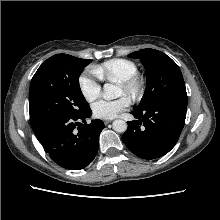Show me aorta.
Returning a JSON list of instances; mask_svg holds the SVG:
<instances>
[{
	"label": "aorta",
	"mask_w": 220,
	"mask_h": 220,
	"mask_svg": "<svg viewBox=\"0 0 220 220\" xmlns=\"http://www.w3.org/2000/svg\"><path fill=\"white\" fill-rule=\"evenodd\" d=\"M120 90L117 86L113 84H104L102 96L105 100H112L118 97ZM113 130L118 133H123L127 130V123L124 120H114L113 121Z\"/></svg>",
	"instance_id": "obj_1"
}]
</instances>
